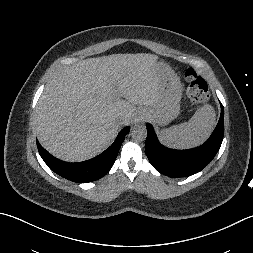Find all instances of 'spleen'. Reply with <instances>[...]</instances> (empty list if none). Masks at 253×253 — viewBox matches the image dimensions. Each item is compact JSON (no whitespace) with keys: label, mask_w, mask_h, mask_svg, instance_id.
I'll return each mask as SVG.
<instances>
[{"label":"spleen","mask_w":253,"mask_h":253,"mask_svg":"<svg viewBox=\"0 0 253 253\" xmlns=\"http://www.w3.org/2000/svg\"><path fill=\"white\" fill-rule=\"evenodd\" d=\"M215 125V110L211 105L205 104L196 110L188 122L163 129L159 138L170 148L190 149L202 144L210 136Z\"/></svg>","instance_id":"1"}]
</instances>
